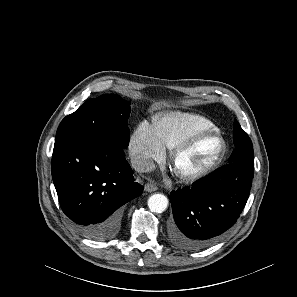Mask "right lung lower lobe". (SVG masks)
<instances>
[{
    "label": "right lung lower lobe",
    "instance_id": "1",
    "mask_svg": "<svg viewBox=\"0 0 297 297\" xmlns=\"http://www.w3.org/2000/svg\"><path fill=\"white\" fill-rule=\"evenodd\" d=\"M51 170L63 212L79 233L92 240L116 236L122 206L143 191L123 148L105 139L55 143Z\"/></svg>",
    "mask_w": 297,
    "mask_h": 297
}]
</instances>
